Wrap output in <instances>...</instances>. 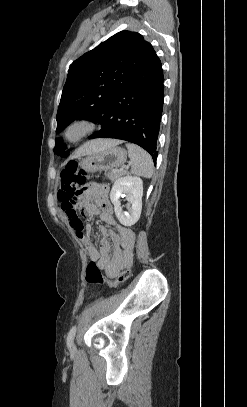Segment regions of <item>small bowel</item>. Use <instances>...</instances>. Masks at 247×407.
<instances>
[{
	"instance_id": "c3829d8e",
	"label": "small bowel",
	"mask_w": 247,
	"mask_h": 407,
	"mask_svg": "<svg viewBox=\"0 0 247 407\" xmlns=\"http://www.w3.org/2000/svg\"><path fill=\"white\" fill-rule=\"evenodd\" d=\"M108 193L107 185L92 183L85 188L81 202H62L61 208L90 260L96 262L108 278H115L132 263L135 235L130 228L116 224ZM95 216L113 227L111 229L106 225L100 226L99 248L91 238L92 226L89 223ZM81 218H84L87 224ZM110 238L115 241L114 249L111 247Z\"/></svg>"
}]
</instances>
